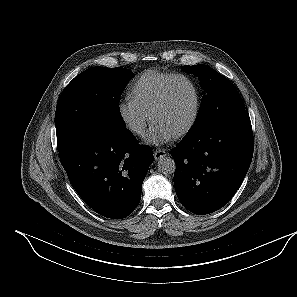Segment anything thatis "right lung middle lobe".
Instances as JSON below:
<instances>
[{"mask_svg":"<svg viewBox=\"0 0 297 297\" xmlns=\"http://www.w3.org/2000/svg\"><path fill=\"white\" fill-rule=\"evenodd\" d=\"M133 77L132 71L121 67H91L65 87L55 112L59 153L91 128H126L119 101Z\"/></svg>","mask_w":297,"mask_h":297,"instance_id":"right-lung-middle-lobe-1","label":"right lung middle lobe"}]
</instances>
